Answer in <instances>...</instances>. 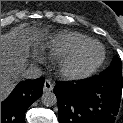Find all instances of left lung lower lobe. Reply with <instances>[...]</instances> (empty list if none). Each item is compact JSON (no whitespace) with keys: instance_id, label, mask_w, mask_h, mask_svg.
I'll return each mask as SVG.
<instances>
[{"instance_id":"left-lung-lower-lobe-1","label":"left lung lower lobe","mask_w":123,"mask_h":123,"mask_svg":"<svg viewBox=\"0 0 123 123\" xmlns=\"http://www.w3.org/2000/svg\"><path fill=\"white\" fill-rule=\"evenodd\" d=\"M122 81L101 75L76 84L57 83L59 123H114L118 114Z\"/></svg>"}]
</instances>
